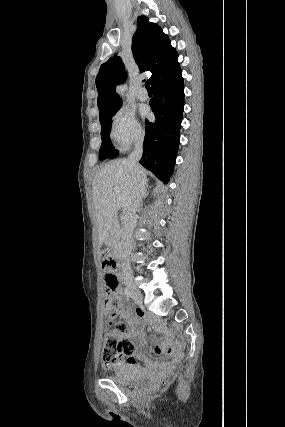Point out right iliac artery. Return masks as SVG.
I'll return each mask as SVG.
<instances>
[{
    "label": "right iliac artery",
    "mask_w": 285,
    "mask_h": 427,
    "mask_svg": "<svg viewBox=\"0 0 285 427\" xmlns=\"http://www.w3.org/2000/svg\"><path fill=\"white\" fill-rule=\"evenodd\" d=\"M124 295H125L127 298L132 297L131 292H130L127 288H125V289H124Z\"/></svg>",
    "instance_id": "obj_1"
}]
</instances>
